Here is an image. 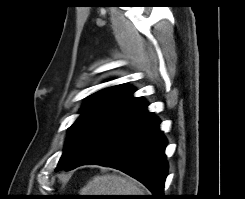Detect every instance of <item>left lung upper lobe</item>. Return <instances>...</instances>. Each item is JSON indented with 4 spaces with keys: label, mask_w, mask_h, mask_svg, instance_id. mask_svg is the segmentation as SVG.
Segmentation results:
<instances>
[{
    "label": "left lung upper lobe",
    "mask_w": 245,
    "mask_h": 199,
    "mask_svg": "<svg viewBox=\"0 0 245 199\" xmlns=\"http://www.w3.org/2000/svg\"><path fill=\"white\" fill-rule=\"evenodd\" d=\"M128 85H116L89 96L81 115L70 127L64 152L55 171L68 168L82 153L90 140L110 121L139 98Z\"/></svg>",
    "instance_id": "obj_1"
}]
</instances>
